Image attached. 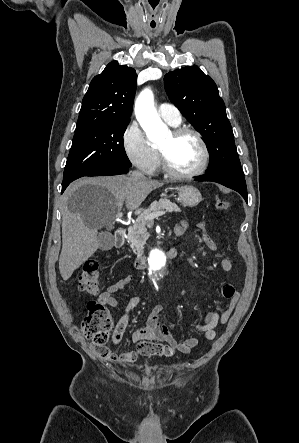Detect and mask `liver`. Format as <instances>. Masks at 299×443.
Instances as JSON below:
<instances>
[{"label": "liver", "instance_id": "1", "mask_svg": "<svg viewBox=\"0 0 299 443\" xmlns=\"http://www.w3.org/2000/svg\"><path fill=\"white\" fill-rule=\"evenodd\" d=\"M163 185V181L112 176L84 178L71 186L64 195L66 206L62 210L59 270L63 280H68L96 252L98 229L115 220L124 202L128 210H135ZM80 187H84L85 198L75 202L72 196Z\"/></svg>", "mask_w": 299, "mask_h": 443}]
</instances>
